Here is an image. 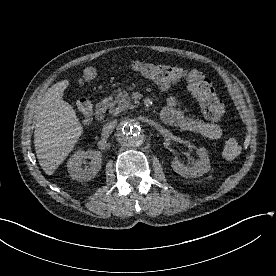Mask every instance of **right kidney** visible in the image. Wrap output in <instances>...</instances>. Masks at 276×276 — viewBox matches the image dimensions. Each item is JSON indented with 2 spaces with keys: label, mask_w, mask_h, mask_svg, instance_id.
<instances>
[{
  "label": "right kidney",
  "mask_w": 276,
  "mask_h": 276,
  "mask_svg": "<svg viewBox=\"0 0 276 276\" xmlns=\"http://www.w3.org/2000/svg\"><path fill=\"white\" fill-rule=\"evenodd\" d=\"M90 159L89 165L84 169L82 164L85 159ZM102 155L99 151L85 152L78 150L68 160L67 169L72 179L86 182L94 178L101 169Z\"/></svg>",
  "instance_id": "1"
}]
</instances>
